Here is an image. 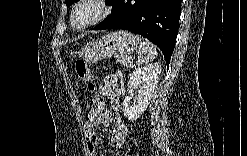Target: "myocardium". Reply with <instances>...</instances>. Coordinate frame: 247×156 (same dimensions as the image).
<instances>
[{
  "instance_id": "f54148a6",
  "label": "myocardium",
  "mask_w": 247,
  "mask_h": 156,
  "mask_svg": "<svg viewBox=\"0 0 247 156\" xmlns=\"http://www.w3.org/2000/svg\"><path fill=\"white\" fill-rule=\"evenodd\" d=\"M85 4H92V5L97 6L99 8V13L97 14V16L93 20L89 21L88 23H86L84 25H76L75 22H74V17H75L76 11L78 10V8L80 6L85 5ZM109 13H110V7H109L108 2L105 1V0H81V1H78L74 5V7H73V9L71 11L70 23H71L73 28H75L77 30H83V29L89 28V27L99 23Z\"/></svg>"
}]
</instances>
